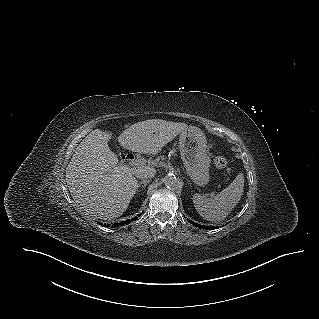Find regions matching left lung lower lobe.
Here are the masks:
<instances>
[{"label":"left lung lower lobe","instance_id":"1","mask_svg":"<svg viewBox=\"0 0 319 319\" xmlns=\"http://www.w3.org/2000/svg\"><path fill=\"white\" fill-rule=\"evenodd\" d=\"M188 221H189L190 224H192L195 227L204 228V229H213V227H211V226L199 225V224H197V223H195V222H193V221H191L189 219H188Z\"/></svg>","mask_w":319,"mask_h":319}]
</instances>
